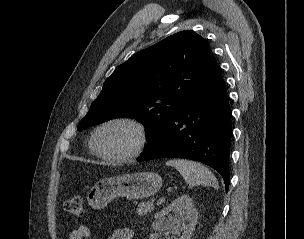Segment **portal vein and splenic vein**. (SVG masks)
<instances>
[{
  "mask_svg": "<svg viewBox=\"0 0 304 239\" xmlns=\"http://www.w3.org/2000/svg\"><path fill=\"white\" fill-rule=\"evenodd\" d=\"M163 202V199L160 198L159 200H157V204H161Z\"/></svg>",
  "mask_w": 304,
  "mask_h": 239,
  "instance_id": "obj_1",
  "label": "portal vein and splenic vein"
}]
</instances>
